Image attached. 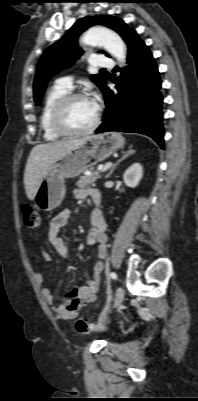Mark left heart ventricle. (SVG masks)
Instances as JSON below:
<instances>
[{"mask_svg": "<svg viewBox=\"0 0 198 401\" xmlns=\"http://www.w3.org/2000/svg\"><path fill=\"white\" fill-rule=\"evenodd\" d=\"M97 113V106L90 98H82L73 101L67 108L65 121L74 130L89 127Z\"/></svg>", "mask_w": 198, "mask_h": 401, "instance_id": "1", "label": "left heart ventricle"}]
</instances>
